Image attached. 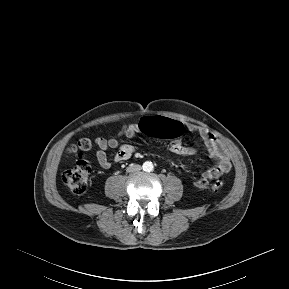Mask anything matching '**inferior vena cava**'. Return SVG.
Segmentation results:
<instances>
[{
	"label": "inferior vena cava",
	"mask_w": 289,
	"mask_h": 289,
	"mask_svg": "<svg viewBox=\"0 0 289 289\" xmlns=\"http://www.w3.org/2000/svg\"><path fill=\"white\" fill-rule=\"evenodd\" d=\"M141 166L139 164H132L127 168L128 172L140 171Z\"/></svg>",
	"instance_id": "inferior-vena-cava-1"
}]
</instances>
